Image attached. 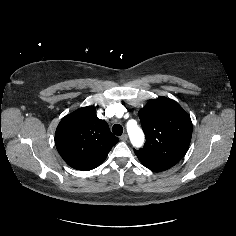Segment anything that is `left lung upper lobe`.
I'll use <instances>...</instances> for the list:
<instances>
[{
  "label": "left lung upper lobe",
  "mask_w": 236,
  "mask_h": 236,
  "mask_svg": "<svg viewBox=\"0 0 236 236\" xmlns=\"http://www.w3.org/2000/svg\"><path fill=\"white\" fill-rule=\"evenodd\" d=\"M146 143L135 150L140 162L150 170L164 171L176 165L189 148L192 122L175 101L166 97L150 100L138 112Z\"/></svg>",
  "instance_id": "obj_1"
}]
</instances>
